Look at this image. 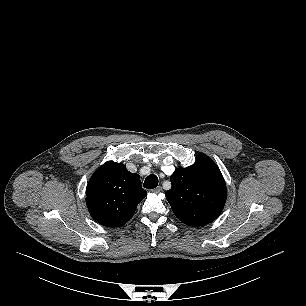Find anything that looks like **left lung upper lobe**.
Here are the masks:
<instances>
[{"label":"left lung upper lobe","mask_w":306,"mask_h":306,"mask_svg":"<svg viewBox=\"0 0 306 306\" xmlns=\"http://www.w3.org/2000/svg\"><path fill=\"white\" fill-rule=\"evenodd\" d=\"M172 188L165 195L176 217L189 226L214 221L225 205L227 191L216 164L199 154L194 165L177 168L171 175Z\"/></svg>","instance_id":"left-lung-upper-lobe-1"}]
</instances>
